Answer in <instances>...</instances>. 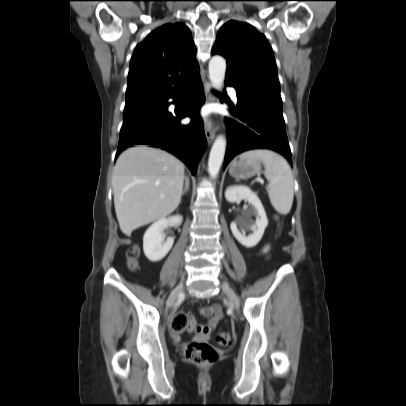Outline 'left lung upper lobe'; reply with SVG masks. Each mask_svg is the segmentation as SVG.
I'll use <instances>...</instances> for the list:
<instances>
[{"label": "left lung upper lobe", "mask_w": 406, "mask_h": 406, "mask_svg": "<svg viewBox=\"0 0 406 406\" xmlns=\"http://www.w3.org/2000/svg\"><path fill=\"white\" fill-rule=\"evenodd\" d=\"M212 54L227 59L225 82L240 93L282 104L273 50L253 26L234 20L225 23L217 34Z\"/></svg>", "instance_id": "1"}]
</instances>
